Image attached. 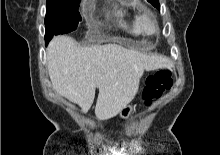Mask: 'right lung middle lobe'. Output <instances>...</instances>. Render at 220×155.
<instances>
[{
	"instance_id": "obj_1",
	"label": "right lung middle lobe",
	"mask_w": 220,
	"mask_h": 155,
	"mask_svg": "<svg viewBox=\"0 0 220 155\" xmlns=\"http://www.w3.org/2000/svg\"><path fill=\"white\" fill-rule=\"evenodd\" d=\"M80 0H47L45 16V42L53 35L65 34L75 30L81 21L78 11Z\"/></svg>"
}]
</instances>
